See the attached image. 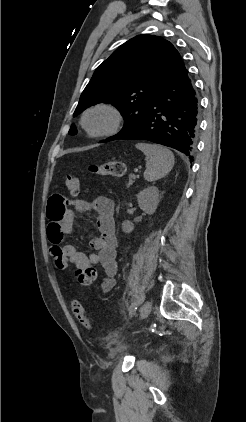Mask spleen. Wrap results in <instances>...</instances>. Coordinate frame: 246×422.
Returning <instances> with one entry per match:
<instances>
[{"instance_id":"1","label":"spleen","mask_w":246,"mask_h":422,"mask_svg":"<svg viewBox=\"0 0 246 422\" xmlns=\"http://www.w3.org/2000/svg\"><path fill=\"white\" fill-rule=\"evenodd\" d=\"M136 148L149 158L144 172V178L147 181H157L166 176L173 168L174 155L166 147L149 143H137Z\"/></svg>"}]
</instances>
